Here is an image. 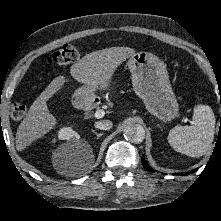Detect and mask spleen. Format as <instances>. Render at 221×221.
I'll return each mask as SVG.
<instances>
[{
  "mask_svg": "<svg viewBox=\"0 0 221 221\" xmlns=\"http://www.w3.org/2000/svg\"><path fill=\"white\" fill-rule=\"evenodd\" d=\"M215 115L208 105L194 107L191 126H175L168 142L177 152L190 157H200L210 148L215 133Z\"/></svg>",
  "mask_w": 221,
  "mask_h": 221,
  "instance_id": "1",
  "label": "spleen"
}]
</instances>
